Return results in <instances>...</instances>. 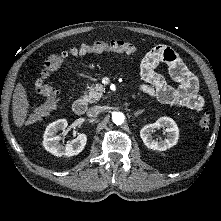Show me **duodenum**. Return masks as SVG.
<instances>
[{
  "mask_svg": "<svg viewBox=\"0 0 221 221\" xmlns=\"http://www.w3.org/2000/svg\"><path fill=\"white\" fill-rule=\"evenodd\" d=\"M73 111L78 114H84L87 110V101L83 97H77L73 102Z\"/></svg>",
  "mask_w": 221,
  "mask_h": 221,
  "instance_id": "obj_1",
  "label": "duodenum"
}]
</instances>
